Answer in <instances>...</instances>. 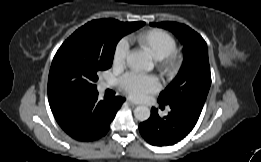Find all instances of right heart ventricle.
<instances>
[{"label": "right heart ventricle", "instance_id": "right-heart-ventricle-1", "mask_svg": "<svg viewBox=\"0 0 261 162\" xmlns=\"http://www.w3.org/2000/svg\"><path fill=\"white\" fill-rule=\"evenodd\" d=\"M130 41L147 49L154 58L162 59L175 51V39L168 32L161 29H149L130 37Z\"/></svg>", "mask_w": 261, "mask_h": 162}]
</instances>
